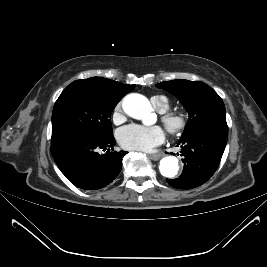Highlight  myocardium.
<instances>
[{
	"label": "myocardium",
	"instance_id": "myocardium-1",
	"mask_svg": "<svg viewBox=\"0 0 267 267\" xmlns=\"http://www.w3.org/2000/svg\"><path fill=\"white\" fill-rule=\"evenodd\" d=\"M161 120L167 131L174 136L184 133L188 126L187 117L178 111L165 113Z\"/></svg>",
	"mask_w": 267,
	"mask_h": 267
}]
</instances>
